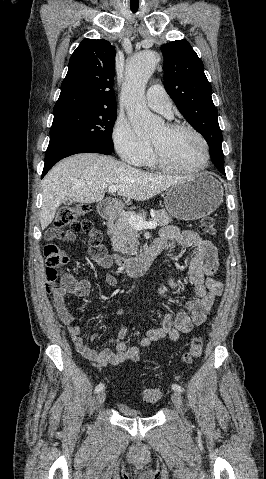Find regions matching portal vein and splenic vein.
<instances>
[{"label":"portal vein and splenic vein","instance_id":"portal-vein-and-splenic-vein-1","mask_svg":"<svg viewBox=\"0 0 266 479\" xmlns=\"http://www.w3.org/2000/svg\"><path fill=\"white\" fill-rule=\"evenodd\" d=\"M118 188H119V186L113 185V186H110L108 188V191L113 194V193H116ZM128 221L137 230L154 229L158 226V224L156 222H154V221L146 222V221L143 220V218H141L138 215H131L128 218Z\"/></svg>","mask_w":266,"mask_h":479}]
</instances>
